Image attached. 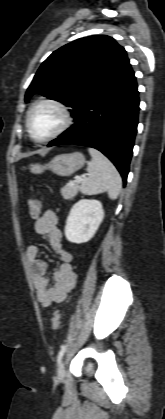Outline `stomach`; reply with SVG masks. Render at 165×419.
Wrapping results in <instances>:
<instances>
[{"mask_svg": "<svg viewBox=\"0 0 165 419\" xmlns=\"http://www.w3.org/2000/svg\"><path fill=\"white\" fill-rule=\"evenodd\" d=\"M85 164V157L80 152L60 154L55 156L48 164H32L30 171L34 174L50 170L59 176H70Z\"/></svg>", "mask_w": 165, "mask_h": 419, "instance_id": "0dacf381", "label": "stomach"}]
</instances>
